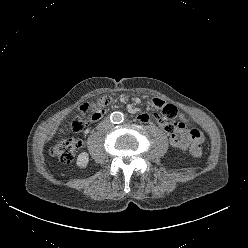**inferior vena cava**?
I'll use <instances>...</instances> for the list:
<instances>
[{
  "mask_svg": "<svg viewBox=\"0 0 248 248\" xmlns=\"http://www.w3.org/2000/svg\"><path fill=\"white\" fill-rule=\"evenodd\" d=\"M103 126L110 128L112 126V124L110 121H104L100 127H103Z\"/></svg>",
  "mask_w": 248,
  "mask_h": 248,
  "instance_id": "602c4592",
  "label": "inferior vena cava"
}]
</instances>
